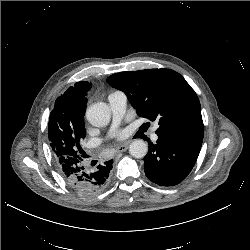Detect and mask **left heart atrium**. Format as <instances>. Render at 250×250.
I'll return each mask as SVG.
<instances>
[{"instance_id":"left-heart-atrium-1","label":"left heart atrium","mask_w":250,"mask_h":250,"mask_svg":"<svg viewBox=\"0 0 250 250\" xmlns=\"http://www.w3.org/2000/svg\"><path fill=\"white\" fill-rule=\"evenodd\" d=\"M122 136H123V133L120 132V133L118 134V137H122Z\"/></svg>"}]
</instances>
